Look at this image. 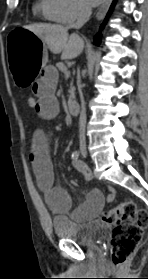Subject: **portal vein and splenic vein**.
Returning a JSON list of instances; mask_svg holds the SVG:
<instances>
[{"mask_svg":"<svg viewBox=\"0 0 148 279\" xmlns=\"http://www.w3.org/2000/svg\"><path fill=\"white\" fill-rule=\"evenodd\" d=\"M65 75H66V77H68L70 75V73L68 71H65Z\"/></svg>","mask_w":148,"mask_h":279,"instance_id":"obj_1","label":"portal vein and splenic vein"}]
</instances>
